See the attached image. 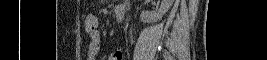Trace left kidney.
<instances>
[{
  "label": "left kidney",
  "instance_id": "obj_1",
  "mask_svg": "<svg viewBox=\"0 0 267 60\" xmlns=\"http://www.w3.org/2000/svg\"><path fill=\"white\" fill-rule=\"evenodd\" d=\"M174 0H161V5L159 10L155 15H150L148 12H142L140 15V19L142 22H157L160 20L166 12L171 8Z\"/></svg>",
  "mask_w": 267,
  "mask_h": 60
}]
</instances>
